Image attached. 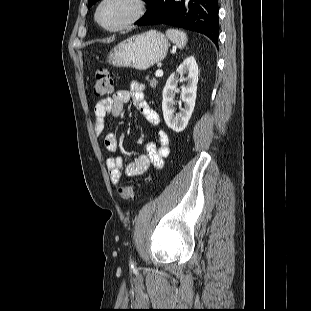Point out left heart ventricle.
Masks as SVG:
<instances>
[{
  "instance_id": "1",
  "label": "left heart ventricle",
  "mask_w": 311,
  "mask_h": 311,
  "mask_svg": "<svg viewBox=\"0 0 311 311\" xmlns=\"http://www.w3.org/2000/svg\"><path fill=\"white\" fill-rule=\"evenodd\" d=\"M131 5L125 0H109L100 11V19L107 26H116L131 13Z\"/></svg>"
}]
</instances>
